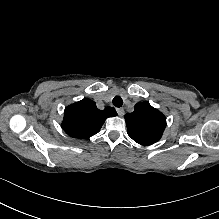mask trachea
<instances>
[{
    "instance_id": "trachea-1",
    "label": "trachea",
    "mask_w": 219,
    "mask_h": 219,
    "mask_svg": "<svg viewBox=\"0 0 219 219\" xmlns=\"http://www.w3.org/2000/svg\"><path fill=\"white\" fill-rule=\"evenodd\" d=\"M112 103L115 107L120 108L123 105V100L120 96H116L113 98Z\"/></svg>"
}]
</instances>
